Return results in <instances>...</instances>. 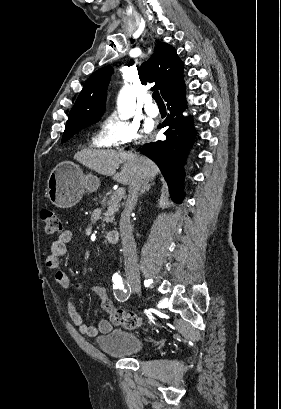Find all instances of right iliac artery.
I'll return each instance as SVG.
<instances>
[{"mask_svg": "<svg viewBox=\"0 0 281 409\" xmlns=\"http://www.w3.org/2000/svg\"><path fill=\"white\" fill-rule=\"evenodd\" d=\"M112 281H113V289L116 290L114 292L115 298L118 301H122V302L128 300V298L131 295V288L129 287V284L124 285L123 279L119 275H114L112 277Z\"/></svg>", "mask_w": 281, "mask_h": 409, "instance_id": "right-iliac-artery-1", "label": "right iliac artery"}]
</instances>
